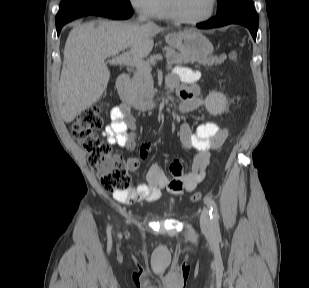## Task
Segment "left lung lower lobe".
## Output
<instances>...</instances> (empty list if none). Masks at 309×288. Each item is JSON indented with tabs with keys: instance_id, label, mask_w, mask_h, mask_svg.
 I'll use <instances>...</instances> for the list:
<instances>
[{
	"instance_id": "obj_1",
	"label": "left lung lower lobe",
	"mask_w": 309,
	"mask_h": 288,
	"mask_svg": "<svg viewBox=\"0 0 309 288\" xmlns=\"http://www.w3.org/2000/svg\"><path fill=\"white\" fill-rule=\"evenodd\" d=\"M258 22V14L256 13L254 4L251 1L240 4L223 14H217V16L211 20L199 23L196 26L200 29H210L228 24H241L249 29L253 39L256 41Z\"/></svg>"
}]
</instances>
